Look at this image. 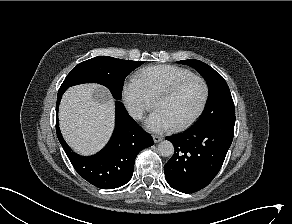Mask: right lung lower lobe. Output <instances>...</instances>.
Instances as JSON below:
<instances>
[{"label": "right lung lower lobe", "instance_id": "98d812e1", "mask_svg": "<svg viewBox=\"0 0 292 224\" xmlns=\"http://www.w3.org/2000/svg\"><path fill=\"white\" fill-rule=\"evenodd\" d=\"M65 91L59 89L57 95L56 132L73 167L82 178L98 188L114 189L126 184L133 175L137 154L152 146L153 138L134 121L123 103L116 101L115 129L108 144L93 156L74 153L63 140L59 129L58 106Z\"/></svg>", "mask_w": 292, "mask_h": 224}]
</instances>
